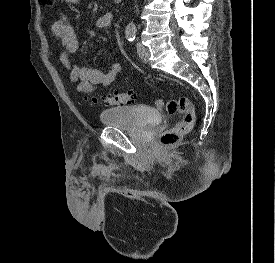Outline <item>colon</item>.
<instances>
[{
	"mask_svg": "<svg viewBox=\"0 0 275 263\" xmlns=\"http://www.w3.org/2000/svg\"><path fill=\"white\" fill-rule=\"evenodd\" d=\"M40 2L43 5L53 6L56 0H40ZM136 97L137 95L134 91L110 93L100 97H93L92 102L94 104H102L105 106H119L135 102ZM156 107L170 115H182V119L179 122L162 132L159 136L158 142L160 146H174L192 130L195 124L196 115L193 103L189 98L184 96L170 100L159 98L156 101Z\"/></svg>",
	"mask_w": 275,
	"mask_h": 263,
	"instance_id": "1",
	"label": "colon"
}]
</instances>
